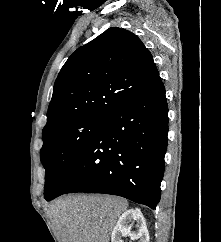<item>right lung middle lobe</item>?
Returning a JSON list of instances; mask_svg holds the SVG:
<instances>
[{
  "label": "right lung middle lobe",
  "mask_w": 221,
  "mask_h": 242,
  "mask_svg": "<svg viewBox=\"0 0 221 242\" xmlns=\"http://www.w3.org/2000/svg\"><path fill=\"white\" fill-rule=\"evenodd\" d=\"M102 123L103 118H81L42 134L44 143L40 150V158L46 171V200L65 168Z\"/></svg>",
  "instance_id": "right-lung-middle-lobe-1"
}]
</instances>
